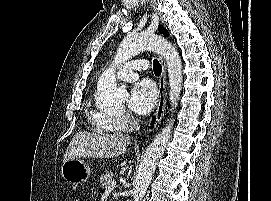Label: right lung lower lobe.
<instances>
[{"label":"right lung lower lobe","instance_id":"1","mask_svg":"<svg viewBox=\"0 0 271 201\" xmlns=\"http://www.w3.org/2000/svg\"><path fill=\"white\" fill-rule=\"evenodd\" d=\"M155 118L152 119L151 127L154 125Z\"/></svg>","mask_w":271,"mask_h":201}]
</instances>
